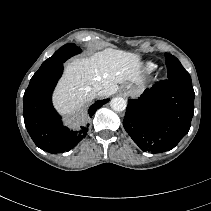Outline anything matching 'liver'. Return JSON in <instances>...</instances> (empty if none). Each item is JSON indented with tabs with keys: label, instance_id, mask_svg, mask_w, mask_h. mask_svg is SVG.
<instances>
[{
	"label": "liver",
	"instance_id": "6515ba94",
	"mask_svg": "<svg viewBox=\"0 0 211 211\" xmlns=\"http://www.w3.org/2000/svg\"><path fill=\"white\" fill-rule=\"evenodd\" d=\"M141 67L138 55L115 49H105L89 58H76L66 65L54 91V104L60 113L79 121L84 105L98 95L93 90L96 83L103 88L99 96H111L118 91V84L131 81L140 85Z\"/></svg>",
	"mask_w": 211,
	"mask_h": 211
}]
</instances>
